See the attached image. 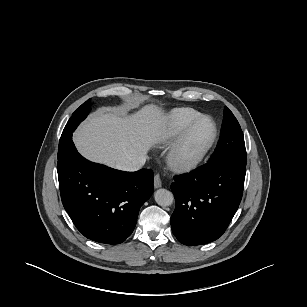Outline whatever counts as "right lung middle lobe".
Instances as JSON below:
<instances>
[{
	"instance_id": "dd1d6c3e",
	"label": "right lung middle lobe",
	"mask_w": 307,
	"mask_h": 307,
	"mask_svg": "<svg viewBox=\"0 0 307 307\" xmlns=\"http://www.w3.org/2000/svg\"><path fill=\"white\" fill-rule=\"evenodd\" d=\"M90 111V99L83 103L69 119L65 126L59 141L58 155L63 153L71 144L72 132L76 129L81 121H83Z\"/></svg>"
}]
</instances>
